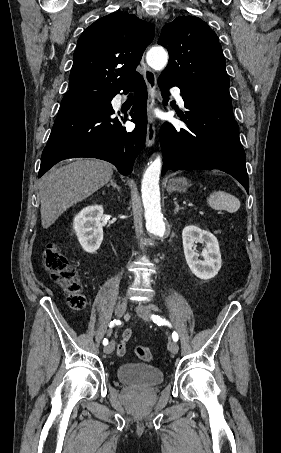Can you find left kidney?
Wrapping results in <instances>:
<instances>
[{"label":"left kidney","instance_id":"1","mask_svg":"<svg viewBox=\"0 0 281 453\" xmlns=\"http://www.w3.org/2000/svg\"><path fill=\"white\" fill-rule=\"evenodd\" d=\"M182 239L186 263L193 275L204 281L213 279L220 271L222 263L216 237L209 231H202L199 227L189 224V227L183 229ZM199 241L205 243L200 255L193 249L194 243H199ZM199 257H203L204 261H200Z\"/></svg>","mask_w":281,"mask_h":453}]
</instances>
